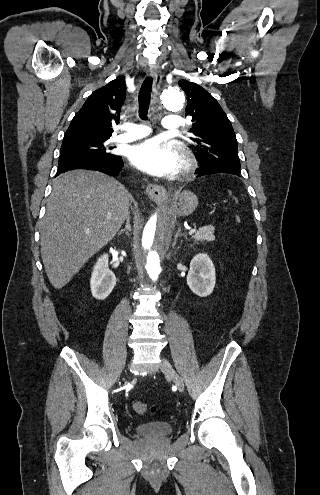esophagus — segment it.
Masks as SVG:
<instances>
[{"instance_id": "esophagus-1", "label": "esophagus", "mask_w": 320, "mask_h": 495, "mask_svg": "<svg viewBox=\"0 0 320 495\" xmlns=\"http://www.w3.org/2000/svg\"><path fill=\"white\" fill-rule=\"evenodd\" d=\"M149 74L153 78L152 102L153 104H155L157 102L160 84H161V75L158 66L152 65L149 68ZM146 192L148 196L154 201H161L166 196V189L162 185H158V184H148L146 187Z\"/></svg>"}]
</instances>
